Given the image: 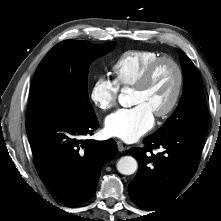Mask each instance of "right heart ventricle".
I'll return each instance as SVG.
<instances>
[{
	"label": "right heart ventricle",
	"instance_id": "1",
	"mask_svg": "<svg viewBox=\"0 0 221 221\" xmlns=\"http://www.w3.org/2000/svg\"><path fill=\"white\" fill-rule=\"evenodd\" d=\"M159 57V53L150 50L124 52L111 66L114 82L118 88L132 87L143 70Z\"/></svg>",
	"mask_w": 221,
	"mask_h": 221
}]
</instances>
